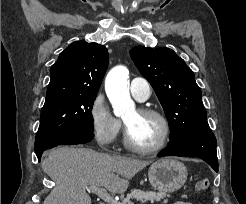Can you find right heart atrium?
<instances>
[{
	"instance_id": "1",
	"label": "right heart atrium",
	"mask_w": 246,
	"mask_h": 204,
	"mask_svg": "<svg viewBox=\"0 0 246 204\" xmlns=\"http://www.w3.org/2000/svg\"><path fill=\"white\" fill-rule=\"evenodd\" d=\"M89 115L92 134L97 143L103 147L113 144L120 135L122 123L112 113L102 94H97L93 99Z\"/></svg>"
}]
</instances>
